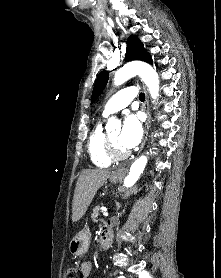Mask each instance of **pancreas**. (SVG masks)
<instances>
[{"label":"pancreas","instance_id":"cf45deb5","mask_svg":"<svg viewBox=\"0 0 221 278\" xmlns=\"http://www.w3.org/2000/svg\"><path fill=\"white\" fill-rule=\"evenodd\" d=\"M103 212L100 206H97L93 209L92 213V219L93 221H97L98 216H100V213Z\"/></svg>","mask_w":221,"mask_h":278}]
</instances>
